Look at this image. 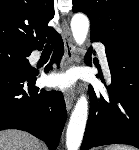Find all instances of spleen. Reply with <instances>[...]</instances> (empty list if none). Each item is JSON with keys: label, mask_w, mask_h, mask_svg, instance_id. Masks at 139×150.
Listing matches in <instances>:
<instances>
[{"label": "spleen", "mask_w": 139, "mask_h": 150, "mask_svg": "<svg viewBox=\"0 0 139 150\" xmlns=\"http://www.w3.org/2000/svg\"><path fill=\"white\" fill-rule=\"evenodd\" d=\"M105 150H134V149L129 146L115 145V146H108L105 148Z\"/></svg>", "instance_id": "obj_1"}]
</instances>
